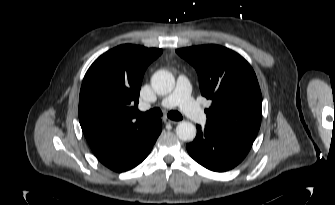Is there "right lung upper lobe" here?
I'll return each instance as SVG.
<instances>
[{
    "label": "right lung upper lobe",
    "mask_w": 335,
    "mask_h": 205,
    "mask_svg": "<svg viewBox=\"0 0 335 205\" xmlns=\"http://www.w3.org/2000/svg\"><path fill=\"white\" fill-rule=\"evenodd\" d=\"M162 49L125 44L97 58L85 74L79 97V122L97 157L129 152L158 129L159 119L139 114L142 79Z\"/></svg>",
    "instance_id": "right-lung-upper-lobe-1"
}]
</instances>
